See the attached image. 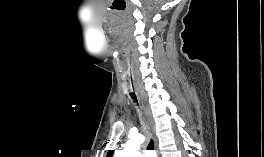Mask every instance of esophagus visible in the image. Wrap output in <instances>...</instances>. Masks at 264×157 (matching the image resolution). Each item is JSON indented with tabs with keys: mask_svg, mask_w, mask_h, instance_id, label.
I'll return each mask as SVG.
<instances>
[{
	"mask_svg": "<svg viewBox=\"0 0 264 157\" xmlns=\"http://www.w3.org/2000/svg\"><path fill=\"white\" fill-rule=\"evenodd\" d=\"M142 107H143L144 113L146 115V118H147L149 125L151 127V130H152V134H153V138H154L155 151H156L158 157H160L159 150H158V140H157V136L155 134V125H154V122H153V119L151 116L150 109H149L148 105L146 104L145 100H142Z\"/></svg>",
	"mask_w": 264,
	"mask_h": 157,
	"instance_id": "34e87169",
	"label": "esophagus"
}]
</instances>
